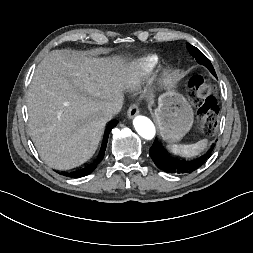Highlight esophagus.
I'll list each match as a JSON object with an SVG mask.
<instances>
[{
	"mask_svg": "<svg viewBox=\"0 0 253 253\" xmlns=\"http://www.w3.org/2000/svg\"><path fill=\"white\" fill-rule=\"evenodd\" d=\"M138 113L139 109L135 104H132L127 111L128 118L130 119L135 117Z\"/></svg>",
	"mask_w": 253,
	"mask_h": 253,
	"instance_id": "1",
	"label": "esophagus"
}]
</instances>
